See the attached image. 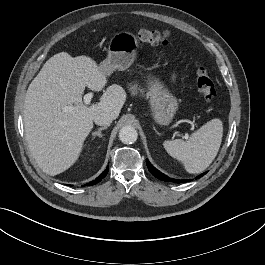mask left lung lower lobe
<instances>
[{
	"label": "left lung lower lobe",
	"mask_w": 265,
	"mask_h": 265,
	"mask_svg": "<svg viewBox=\"0 0 265 265\" xmlns=\"http://www.w3.org/2000/svg\"><path fill=\"white\" fill-rule=\"evenodd\" d=\"M146 163H147V167L149 169V171L154 175L156 176L158 179L160 180H163V181H167V182H174V183H182V182H187L189 180H175V179H172V178H169L167 177L166 175L162 174L161 172H159L157 169H155L151 164L150 162L146 159ZM204 175L201 174L199 176L196 177V179L202 177Z\"/></svg>",
	"instance_id": "0a47b994"
}]
</instances>
